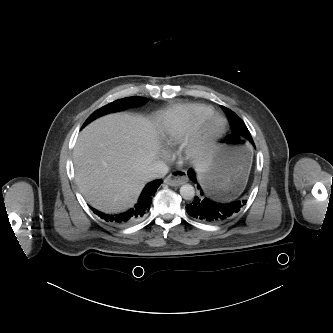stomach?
Here are the masks:
<instances>
[{
  "mask_svg": "<svg viewBox=\"0 0 333 333\" xmlns=\"http://www.w3.org/2000/svg\"><path fill=\"white\" fill-rule=\"evenodd\" d=\"M253 154L238 139L225 136L210 154L199 180L209 195L229 200L245 186Z\"/></svg>",
  "mask_w": 333,
  "mask_h": 333,
  "instance_id": "0dacf381",
  "label": "stomach"
}]
</instances>
